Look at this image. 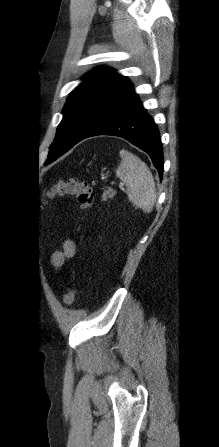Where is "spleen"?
<instances>
[{
    "label": "spleen",
    "mask_w": 219,
    "mask_h": 447,
    "mask_svg": "<svg viewBox=\"0 0 219 447\" xmlns=\"http://www.w3.org/2000/svg\"><path fill=\"white\" fill-rule=\"evenodd\" d=\"M121 162L116 176L125 183L129 201L144 212H151L156 202L154 178L147 165L127 150L119 152Z\"/></svg>",
    "instance_id": "obj_1"
}]
</instances>
